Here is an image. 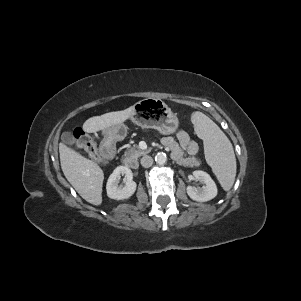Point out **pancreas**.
<instances>
[{
    "mask_svg": "<svg viewBox=\"0 0 301 301\" xmlns=\"http://www.w3.org/2000/svg\"><path fill=\"white\" fill-rule=\"evenodd\" d=\"M146 153H148V151H143L141 150L137 145H133L130 149H128L124 156L127 159L133 160V159H137L138 157L145 155ZM183 165L184 166H198L200 165V161L195 158V157H191V158H187L183 161Z\"/></svg>",
    "mask_w": 301,
    "mask_h": 301,
    "instance_id": "pancreas-1",
    "label": "pancreas"
}]
</instances>
